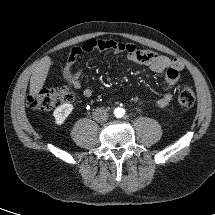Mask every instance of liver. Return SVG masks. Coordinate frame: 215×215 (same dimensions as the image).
Instances as JSON below:
<instances>
[{
    "mask_svg": "<svg viewBox=\"0 0 215 215\" xmlns=\"http://www.w3.org/2000/svg\"><path fill=\"white\" fill-rule=\"evenodd\" d=\"M51 64H52L51 59L48 56L43 57L35 64L32 76L30 78L29 85L30 96L37 95L39 91L42 89Z\"/></svg>",
    "mask_w": 215,
    "mask_h": 215,
    "instance_id": "liver-1",
    "label": "liver"
}]
</instances>
